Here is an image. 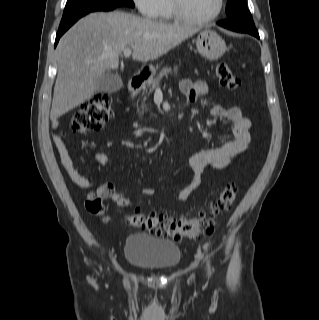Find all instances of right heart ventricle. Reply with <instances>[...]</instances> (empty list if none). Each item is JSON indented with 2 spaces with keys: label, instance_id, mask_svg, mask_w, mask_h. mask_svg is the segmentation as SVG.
Masks as SVG:
<instances>
[{
  "label": "right heart ventricle",
  "instance_id": "e07e8e85",
  "mask_svg": "<svg viewBox=\"0 0 319 320\" xmlns=\"http://www.w3.org/2000/svg\"><path fill=\"white\" fill-rule=\"evenodd\" d=\"M161 16L165 20H172L173 15L170 7V0H165Z\"/></svg>",
  "mask_w": 319,
  "mask_h": 320
}]
</instances>
